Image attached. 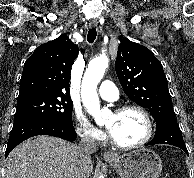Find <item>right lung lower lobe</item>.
I'll list each match as a JSON object with an SVG mask.
<instances>
[{
  "mask_svg": "<svg viewBox=\"0 0 194 178\" xmlns=\"http://www.w3.org/2000/svg\"><path fill=\"white\" fill-rule=\"evenodd\" d=\"M36 135H51L68 141L76 139L73 123L59 124L41 118L16 120L10 133L5 157L19 143Z\"/></svg>",
  "mask_w": 194,
  "mask_h": 178,
  "instance_id": "right-lung-lower-lobe-1",
  "label": "right lung lower lobe"
}]
</instances>
